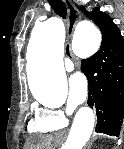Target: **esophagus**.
I'll return each mask as SVG.
<instances>
[{"instance_id":"34e87169","label":"esophagus","mask_w":124,"mask_h":149,"mask_svg":"<svg viewBox=\"0 0 124 149\" xmlns=\"http://www.w3.org/2000/svg\"><path fill=\"white\" fill-rule=\"evenodd\" d=\"M63 2L68 10L67 39L70 40L80 19V13L71 0H63Z\"/></svg>"}]
</instances>
